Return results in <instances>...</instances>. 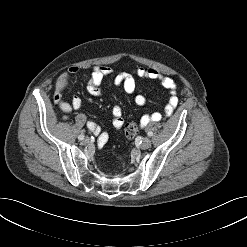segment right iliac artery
Instances as JSON below:
<instances>
[{
  "mask_svg": "<svg viewBox=\"0 0 247 247\" xmlns=\"http://www.w3.org/2000/svg\"><path fill=\"white\" fill-rule=\"evenodd\" d=\"M78 139H79V140H83V139H84V135H83V134L79 135V136H78Z\"/></svg>",
  "mask_w": 247,
  "mask_h": 247,
  "instance_id": "82829eb1",
  "label": "right iliac artery"
}]
</instances>
